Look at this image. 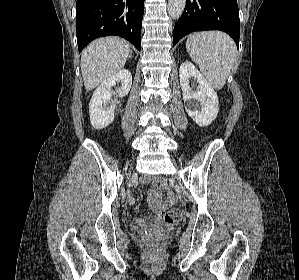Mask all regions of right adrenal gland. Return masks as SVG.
<instances>
[{"label":"right adrenal gland","instance_id":"2a0ac1e0","mask_svg":"<svg viewBox=\"0 0 299 280\" xmlns=\"http://www.w3.org/2000/svg\"><path fill=\"white\" fill-rule=\"evenodd\" d=\"M132 57V53L130 54V58Z\"/></svg>","mask_w":299,"mask_h":280}]
</instances>
